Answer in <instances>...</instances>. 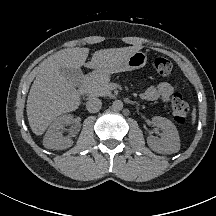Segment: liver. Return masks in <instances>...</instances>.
I'll list each match as a JSON object with an SVG mask.
<instances>
[{
	"instance_id": "liver-1",
	"label": "liver",
	"mask_w": 216,
	"mask_h": 216,
	"mask_svg": "<svg viewBox=\"0 0 216 216\" xmlns=\"http://www.w3.org/2000/svg\"><path fill=\"white\" fill-rule=\"evenodd\" d=\"M140 46L110 48L96 51L85 63L89 48H68L49 56L42 64L27 99V117L32 132L42 135L57 116L75 111L80 96L71 82L60 72L61 67L101 68L116 65L140 50Z\"/></svg>"
}]
</instances>
